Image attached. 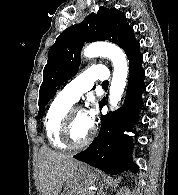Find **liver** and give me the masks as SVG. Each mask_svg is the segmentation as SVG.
Listing matches in <instances>:
<instances>
[{
    "label": "liver",
    "mask_w": 178,
    "mask_h": 195,
    "mask_svg": "<svg viewBox=\"0 0 178 195\" xmlns=\"http://www.w3.org/2000/svg\"><path fill=\"white\" fill-rule=\"evenodd\" d=\"M81 163L70 155L42 147L39 153V183L42 195H59Z\"/></svg>",
    "instance_id": "obj_1"
}]
</instances>
